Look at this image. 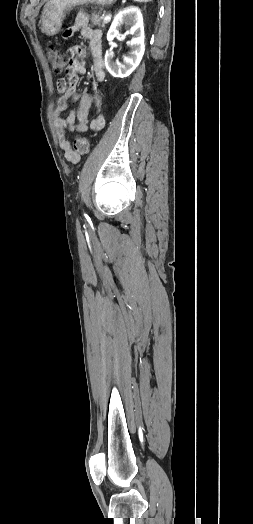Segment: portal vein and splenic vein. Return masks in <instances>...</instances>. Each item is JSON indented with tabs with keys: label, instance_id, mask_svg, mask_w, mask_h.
I'll return each instance as SVG.
<instances>
[{
	"label": "portal vein and splenic vein",
	"instance_id": "obj_1",
	"mask_svg": "<svg viewBox=\"0 0 253 524\" xmlns=\"http://www.w3.org/2000/svg\"><path fill=\"white\" fill-rule=\"evenodd\" d=\"M111 19V14H108L104 17V22H108Z\"/></svg>",
	"mask_w": 253,
	"mask_h": 524
}]
</instances>
